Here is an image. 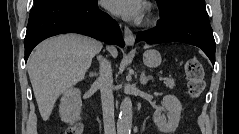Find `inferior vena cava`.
Instances as JSON below:
<instances>
[{
	"label": "inferior vena cava",
	"instance_id": "1",
	"mask_svg": "<svg viewBox=\"0 0 239 134\" xmlns=\"http://www.w3.org/2000/svg\"><path fill=\"white\" fill-rule=\"evenodd\" d=\"M100 61V76L98 84L101 92L103 122L105 134H116L114 121V96L112 91L113 76L111 64L108 60L98 57Z\"/></svg>",
	"mask_w": 239,
	"mask_h": 134
}]
</instances>
